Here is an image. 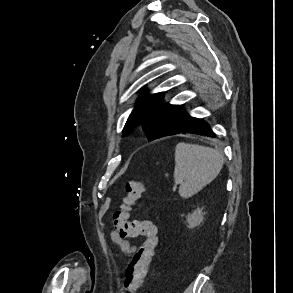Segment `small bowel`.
<instances>
[{
  "mask_svg": "<svg viewBox=\"0 0 293 293\" xmlns=\"http://www.w3.org/2000/svg\"><path fill=\"white\" fill-rule=\"evenodd\" d=\"M110 238L125 254H132L136 249V246L131 241L122 237L117 231H112L110 233Z\"/></svg>",
  "mask_w": 293,
  "mask_h": 293,
  "instance_id": "1",
  "label": "small bowel"
}]
</instances>
